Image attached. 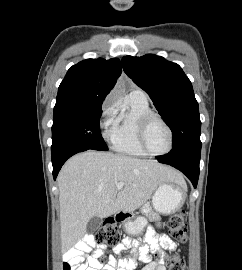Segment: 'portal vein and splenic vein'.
Returning a JSON list of instances; mask_svg holds the SVG:
<instances>
[{
  "label": "portal vein and splenic vein",
  "mask_w": 242,
  "mask_h": 270,
  "mask_svg": "<svg viewBox=\"0 0 242 270\" xmlns=\"http://www.w3.org/2000/svg\"><path fill=\"white\" fill-rule=\"evenodd\" d=\"M124 186H125V183L119 182V183L117 184V190H118V191L121 190Z\"/></svg>",
  "instance_id": "18ae733b"
}]
</instances>
